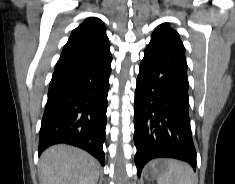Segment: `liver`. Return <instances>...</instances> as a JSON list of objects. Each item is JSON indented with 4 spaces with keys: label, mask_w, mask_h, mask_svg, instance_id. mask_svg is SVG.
I'll use <instances>...</instances> for the list:
<instances>
[{
    "label": "liver",
    "mask_w": 235,
    "mask_h": 184,
    "mask_svg": "<svg viewBox=\"0 0 235 184\" xmlns=\"http://www.w3.org/2000/svg\"><path fill=\"white\" fill-rule=\"evenodd\" d=\"M100 164L79 148L58 144L43 152L39 184H97Z\"/></svg>",
    "instance_id": "1"
}]
</instances>
